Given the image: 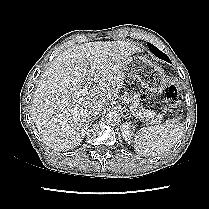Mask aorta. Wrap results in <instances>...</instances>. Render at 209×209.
<instances>
[{
  "label": "aorta",
  "mask_w": 209,
  "mask_h": 209,
  "mask_svg": "<svg viewBox=\"0 0 209 209\" xmlns=\"http://www.w3.org/2000/svg\"><path fill=\"white\" fill-rule=\"evenodd\" d=\"M103 120L110 125H116L121 121V114L118 111L110 110L104 114Z\"/></svg>",
  "instance_id": "obj_1"
}]
</instances>
